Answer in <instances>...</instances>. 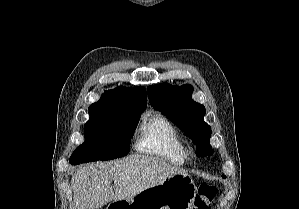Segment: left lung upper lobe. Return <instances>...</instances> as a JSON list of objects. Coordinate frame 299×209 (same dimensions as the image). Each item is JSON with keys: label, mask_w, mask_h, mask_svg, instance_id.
<instances>
[{"label": "left lung upper lobe", "mask_w": 299, "mask_h": 209, "mask_svg": "<svg viewBox=\"0 0 299 209\" xmlns=\"http://www.w3.org/2000/svg\"><path fill=\"white\" fill-rule=\"evenodd\" d=\"M192 91L189 84L178 87L163 83L147 88L150 104L169 116L170 120L192 139L196 144L197 155H211V127L204 122L206 110L191 98Z\"/></svg>", "instance_id": "obj_1"}]
</instances>
